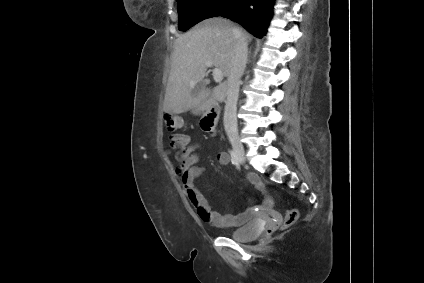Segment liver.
<instances>
[{"label": "liver", "mask_w": 424, "mask_h": 283, "mask_svg": "<svg viewBox=\"0 0 424 283\" xmlns=\"http://www.w3.org/2000/svg\"><path fill=\"white\" fill-rule=\"evenodd\" d=\"M234 27L221 17L208 18L177 38L164 98L166 113L181 114L191 110L200 114L208 109L212 102L211 90L203 87L196 97L191 91L204 78L207 61L219 68L224 76H229L237 42ZM243 33L246 40L251 41V36Z\"/></svg>", "instance_id": "obj_1"}]
</instances>
